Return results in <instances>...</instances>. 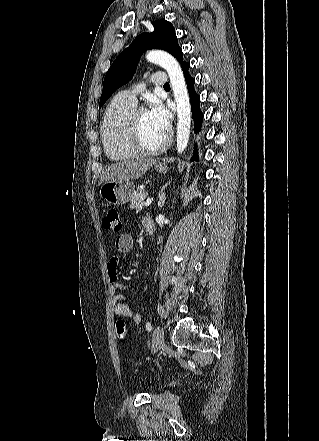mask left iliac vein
Listing matches in <instances>:
<instances>
[{
  "label": "left iliac vein",
  "mask_w": 319,
  "mask_h": 441,
  "mask_svg": "<svg viewBox=\"0 0 319 441\" xmlns=\"http://www.w3.org/2000/svg\"><path fill=\"white\" fill-rule=\"evenodd\" d=\"M164 345V332L160 326H157L152 335V350L158 351Z\"/></svg>",
  "instance_id": "4c4485c4"
}]
</instances>
